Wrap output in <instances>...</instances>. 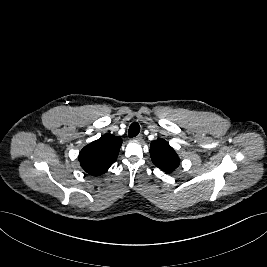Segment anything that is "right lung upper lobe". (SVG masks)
Returning <instances> with one entry per match:
<instances>
[{"label":"right lung upper lobe","instance_id":"obj_1","mask_svg":"<svg viewBox=\"0 0 267 267\" xmlns=\"http://www.w3.org/2000/svg\"><path fill=\"white\" fill-rule=\"evenodd\" d=\"M122 144L119 136L105 134L86 145L79 153L81 167L92 176L105 173L117 160Z\"/></svg>","mask_w":267,"mask_h":267}]
</instances>
